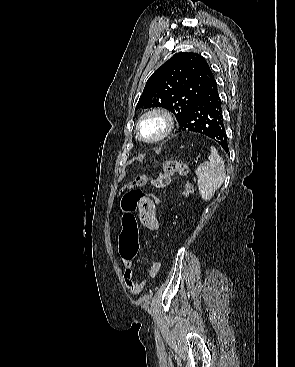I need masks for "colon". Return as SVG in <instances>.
<instances>
[{
    "label": "colon",
    "mask_w": 295,
    "mask_h": 367,
    "mask_svg": "<svg viewBox=\"0 0 295 367\" xmlns=\"http://www.w3.org/2000/svg\"><path fill=\"white\" fill-rule=\"evenodd\" d=\"M188 172L189 168L185 162L170 159L163 163L162 170L155 176H138L133 181L124 185L120 199V205L124 212L122 217L123 229L120 235V243L124 255L132 256L136 254L138 249V229L133 212L142 195L149 194L148 197L153 201L152 203L155 206H160L163 203V196L158 193H154L152 190L143 191L141 188L148 185L155 188H164L170 183L173 175L179 174L181 176H186ZM192 193V184L186 183L183 188V196L189 197ZM153 266L157 268L159 263L154 262Z\"/></svg>",
    "instance_id": "obj_1"
}]
</instances>
